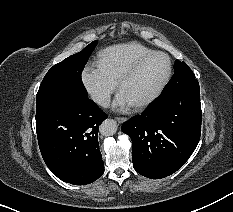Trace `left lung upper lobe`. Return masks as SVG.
<instances>
[{
	"instance_id": "left-lung-upper-lobe-1",
	"label": "left lung upper lobe",
	"mask_w": 233,
	"mask_h": 212,
	"mask_svg": "<svg viewBox=\"0 0 233 212\" xmlns=\"http://www.w3.org/2000/svg\"><path fill=\"white\" fill-rule=\"evenodd\" d=\"M174 71H175L174 76L165 86L163 91H168L169 89H171L173 86H175L177 83L181 81L195 79L192 70L185 62L176 60L174 64Z\"/></svg>"
}]
</instances>
